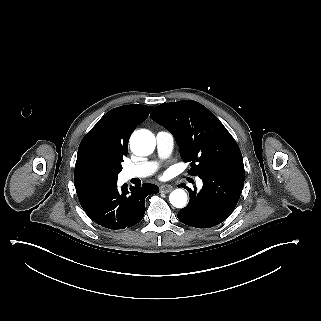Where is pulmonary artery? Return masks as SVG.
<instances>
[{
	"label": "pulmonary artery",
	"instance_id": "obj_1",
	"mask_svg": "<svg viewBox=\"0 0 321 321\" xmlns=\"http://www.w3.org/2000/svg\"><path fill=\"white\" fill-rule=\"evenodd\" d=\"M157 149L161 157L169 155L174 147V136L168 130H160L156 135ZM157 169V163L153 161H142L131 166L124 167L120 172V181H127L132 178H146L151 176ZM201 180L197 184L201 185Z\"/></svg>",
	"mask_w": 321,
	"mask_h": 321
}]
</instances>
